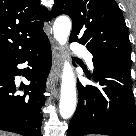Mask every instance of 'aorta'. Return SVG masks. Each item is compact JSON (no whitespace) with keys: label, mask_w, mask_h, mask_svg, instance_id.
I'll return each mask as SVG.
<instances>
[{"label":"aorta","mask_w":136,"mask_h":136,"mask_svg":"<svg viewBox=\"0 0 136 136\" xmlns=\"http://www.w3.org/2000/svg\"><path fill=\"white\" fill-rule=\"evenodd\" d=\"M71 31V21L67 16L58 17L53 25L54 38L61 44L65 45ZM76 108V82L71 64L65 61L62 83L61 98L59 103V112L63 119L70 118Z\"/></svg>","instance_id":"obj_1"}]
</instances>
